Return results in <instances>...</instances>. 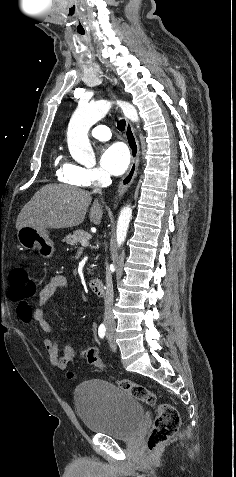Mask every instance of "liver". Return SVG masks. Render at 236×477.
Wrapping results in <instances>:
<instances>
[{
  "label": "liver",
  "mask_w": 236,
  "mask_h": 477,
  "mask_svg": "<svg viewBox=\"0 0 236 477\" xmlns=\"http://www.w3.org/2000/svg\"><path fill=\"white\" fill-rule=\"evenodd\" d=\"M91 201V193L80 188L63 184L45 185L20 211L16 229L30 226L41 231L78 226L84 221ZM102 215V206L95 200L89 213L90 221L98 225Z\"/></svg>",
  "instance_id": "1"
}]
</instances>
